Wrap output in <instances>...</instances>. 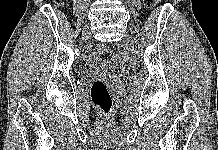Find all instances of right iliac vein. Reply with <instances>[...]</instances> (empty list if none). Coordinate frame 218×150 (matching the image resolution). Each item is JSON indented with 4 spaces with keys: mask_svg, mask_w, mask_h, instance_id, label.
<instances>
[{
    "mask_svg": "<svg viewBox=\"0 0 218 150\" xmlns=\"http://www.w3.org/2000/svg\"><path fill=\"white\" fill-rule=\"evenodd\" d=\"M84 38L87 39V38H88V35L86 34Z\"/></svg>",
    "mask_w": 218,
    "mask_h": 150,
    "instance_id": "1",
    "label": "right iliac vein"
}]
</instances>
